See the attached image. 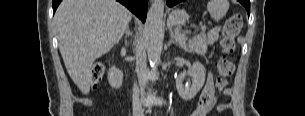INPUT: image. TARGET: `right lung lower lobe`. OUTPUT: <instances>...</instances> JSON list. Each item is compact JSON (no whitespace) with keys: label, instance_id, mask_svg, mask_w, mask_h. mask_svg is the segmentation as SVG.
Wrapping results in <instances>:
<instances>
[{"label":"right lung lower lobe","instance_id":"98d812e1","mask_svg":"<svg viewBox=\"0 0 305 116\" xmlns=\"http://www.w3.org/2000/svg\"><path fill=\"white\" fill-rule=\"evenodd\" d=\"M126 6L132 13L139 17L143 22L146 20L147 16V5L148 0H117ZM61 0H53V12L56 11Z\"/></svg>","mask_w":305,"mask_h":116}]
</instances>
